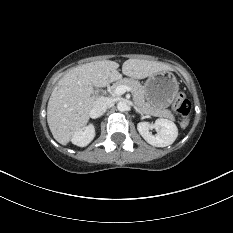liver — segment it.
Wrapping results in <instances>:
<instances>
[{
  "label": "liver",
  "instance_id": "obj_1",
  "mask_svg": "<svg viewBox=\"0 0 233 233\" xmlns=\"http://www.w3.org/2000/svg\"><path fill=\"white\" fill-rule=\"evenodd\" d=\"M115 61L102 60L71 69L53 89L47 107V122L54 139L66 145L89 121L95 101L94 86L105 87L122 77ZM168 64L140 59L126 60L122 73L144 79L161 71H171Z\"/></svg>",
  "mask_w": 233,
  "mask_h": 233
}]
</instances>
